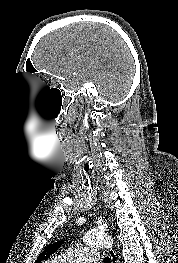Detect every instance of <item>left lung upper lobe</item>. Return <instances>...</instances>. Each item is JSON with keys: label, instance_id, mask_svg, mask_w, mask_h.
<instances>
[{"label": "left lung upper lobe", "instance_id": "1", "mask_svg": "<svg viewBox=\"0 0 178 263\" xmlns=\"http://www.w3.org/2000/svg\"><path fill=\"white\" fill-rule=\"evenodd\" d=\"M63 244V241H57L50 244L46 249L38 256L35 263H41L43 260H47L52 254H54L60 246Z\"/></svg>", "mask_w": 178, "mask_h": 263}]
</instances>
